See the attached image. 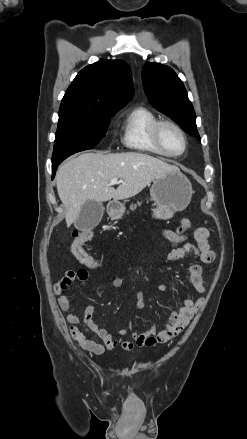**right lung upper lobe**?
I'll use <instances>...</instances> for the list:
<instances>
[{"instance_id":"cb5924a9","label":"right lung upper lobe","mask_w":247,"mask_h":439,"mask_svg":"<svg viewBox=\"0 0 247 439\" xmlns=\"http://www.w3.org/2000/svg\"><path fill=\"white\" fill-rule=\"evenodd\" d=\"M133 94L128 64L122 60H100L78 73L65 92L60 110H120Z\"/></svg>"}]
</instances>
